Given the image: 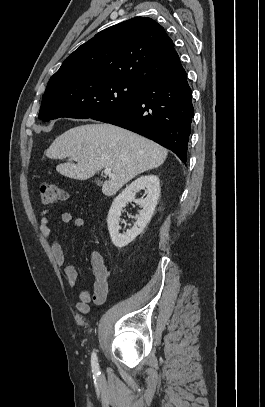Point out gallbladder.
<instances>
[{
  "label": "gallbladder",
  "mask_w": 265,
  "mask_h": 407,
  "mask_svg": "<svg viewBox=\"0 0 265 407\" xmlns=\"http://www.w3.org/2000/svg\"><path fill=\"white\" fill-rule=\"evenodd\" d=\"M96 184H97V185H100V184H101V182H100V181H96Z\"/></svg>",
  "instance_id": "bac80fb5"
}]
</instances>
